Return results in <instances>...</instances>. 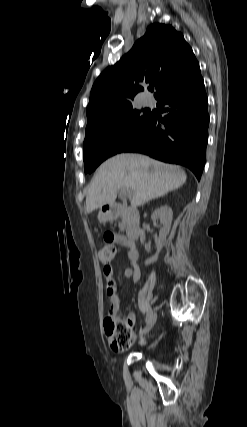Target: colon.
<instances>
[{"mask_svg":"<svg viewBox=\"0 0 247 427\" xmlns=\"http://www.w3.org/2000/svg\"><path fill=\"white\" fill-rule=\"evenodd\" d=\"M116 248L113 244L103 245L98 250L99 260L108 265L116 254ZM105 332L111 347L116 351L128 349L133 341L132 326L125 321L115 318L113 315H108L105 318Z\"/></svg>","mask_w":247,"mask_h":427,"instance_id":"colon-1","label":"colon"}]
</instances>
